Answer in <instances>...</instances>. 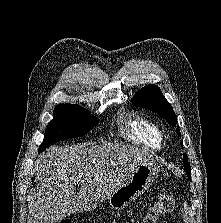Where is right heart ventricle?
Returning <instances> with one entry per match:
<instances>
[{
    "mask_svg": "<svg viewBox=\"0 0 221 223\" xmlns=\"http://www.w3.org/2000/svg\"><path fill=\"white\" fill-rule=\"evenodd\" d=\"M122 133L131 141L153 148L161 145L162 136L158 126L150 119L138 114L133 113L126 117Z\"/></svg>",
    "mask_w": 221,
    "mask_h": 223,
    "instance_id": "right-heart-ventricle-1",
    "label": "right heart ventricle"
}]
</instances>
